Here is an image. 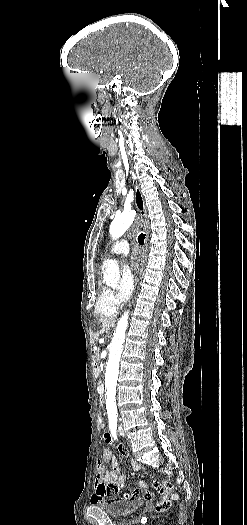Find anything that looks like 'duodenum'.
<instances>
[{"label":"duodenum","instance_id":"410a0bca","mask_svg":"<svg viewBox=\"0 0 247 525\" xmlns=\"http://www.w3.org/2000/svg\"><path fill=\"white\" fill-rule=\"evenodd\" d=\"M93 372H94V375H96V376L99 375V373H100V366H99L98 362H94V364H93ZM98 393H99L100 397L102 399H104V397H105V389H104L103 386H99L98 387Z\"/></svg>","mask_w":247,"mask_h":525}]
</instances>
